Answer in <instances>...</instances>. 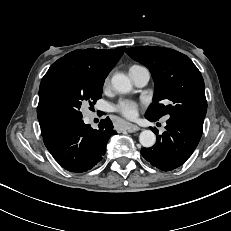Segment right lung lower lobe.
I'll return each instance as SVG.
<instances>
[{
	"label": "right lung lower lobe",
	"mask_w": 231,
	"mask_h": 231,
	"mask_svg": "<svg viewBox=\"0 0 231 231\" xmlns=\"http://www.w3.org/2000/svg\"><path fill=\"white\" fill-rule=\"evenodd\" d=\"M113 134L116 132L107 117L100 121L98 130L80 119L62 123L42 136L53 158L64 169L78 173L91 169L102 159Z\"/></svg>",
	"instance_id": "obj_1"
}]
</instances>
